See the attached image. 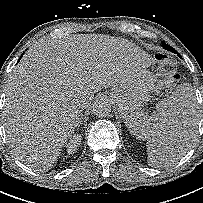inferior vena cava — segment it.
I'll list each match as a JSON object with an SVG mask.
<instances>
[{"mask_svg": "<svg viewBox=\"0 0 203 203\" xmlns=\"http://www.w3.org/2000/svg\"><path fill=\"white\" fill-rule=\"evenodd\" d=\"M81 103H82L81 105L84 107V106H85V102H84V101H82Z\"/></svg>", "mask_w": 203, "mask_h": 203, "instance_id": "obj_1", "label": "inferior vena cava"}]
</instances>
